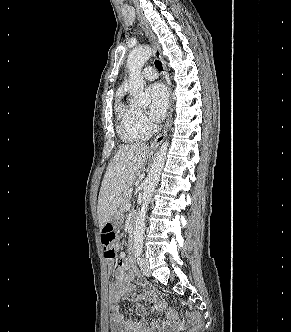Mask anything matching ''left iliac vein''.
Returning <instances> with one entry per match:
<instances>
[{"mask_svg": "<svg viewBox=\"0 0 291 332\" xmlns=\"http://www.w3.org/2000/svg\"><path fill=\"white\" fill-rule=\"evenodd\" d=\"M141 271L145 276H150L149 261L147 259H144V264L141 266Z\"/></svg>", "mask_w": 291, "mask_h": 332, "instance_id": "1", "label": "left iliac vein"}]
</instances>
